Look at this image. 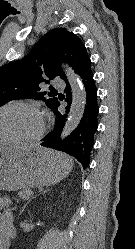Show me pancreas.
<instances>
[{"label": "pancreas", "instance_id": "1", "mask_svg": "<svg viewBox=\"0 0 135 249\" xmlns=\"http://www.w3.org/2000/svg\"><path fill=\"white\" fill-rule=\"evenodd\" d=\"M31 191L29 189H24L18 192L19 198L21 199H28L30 196Z\"/></svg>", "mask_w": 135, "mask_h": 249}]
</instances>
